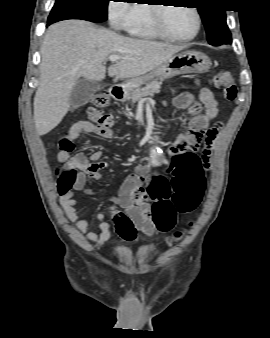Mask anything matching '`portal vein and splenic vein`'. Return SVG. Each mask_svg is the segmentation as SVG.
I'll return each instance as SVG.
<instances>
[{"label":"portal vein and splenic vein","instance_id":"1","mask_svg":"<svg viewBox=\"0 0 270 338\" xmlns=\"http://www.w3.org/2000/svg\"><path fill=\"white\" fill-rule=\"evenodd\" d=\"M120 59H122V57L119 56V55H111V56L109 57V60H110L111 62H116V61H118V60H120Z\"/></svg>","mask_w":270,"mask_h":338}]
</instances>
